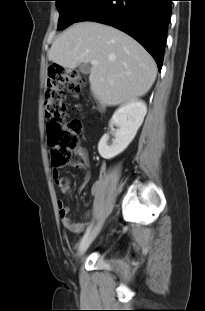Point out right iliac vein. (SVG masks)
<instances>
[{
	"instance_id": "right-iliac-vein-1",
	"label": "right iliac vein",
	"mask_w": 205,
	"mask_h": 311,
	"mask_svg": "<svg viewBox=\"0 0 205 311\" xmlns=\"http://www.w3.org/2000/svg\"><path fill=\"white\" fill-rule=\"evenodd\" d=\"M100 228L101 225L96 226L86 237L81 240L77 251L79 258H81L86 253L87 249L98 235Z\"/></svg>"
}]
</instances>
